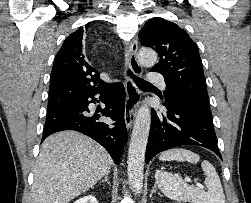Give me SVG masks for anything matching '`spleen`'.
I'll return each instance as SVG.
<instances>
[{"instance_id": "obj_1", "label": "spleen", "mask_w": 251, "mask_h": 203, "mask_svg": "<svg viewBox=\"0 0 251 203\" xmlns=\"http://www.w3.org/2000/svg\"><path fill=\"white\" fill-rule=\"evenodd\" d=\"M199 159L198 154L184 148L167 150L159 156V160L161 161L178 160L197 163ZM201 166L206 176L204 182L207 192L189 186L178 174L161 170H157L155 173L156 184L166 197L179 202L225 203L221 181L214 166L207 160H204Z\"/></svg>"}]
</instances>
